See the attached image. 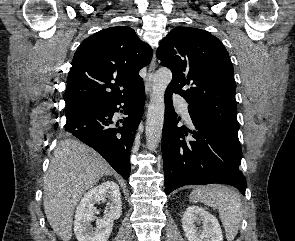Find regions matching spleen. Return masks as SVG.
Here are the masks:
<instances>
[{
	"label": "spleen",
	"instance_id": "1",
	"mask_svg": "<svg viewBox=\"0 0 295 241\" xmlns=\"http://www.w3.org/2000/svg\"><path fill=\"white\" fill-rule=\"evenodd\" d=\"M189 199L218 209L227 240H234L243 213L240 195L235 190L220 184L200 186L191 192Z\"/></svg>",
	"mask_w": 295,
	"mask_h": 241
}]
</instances>
